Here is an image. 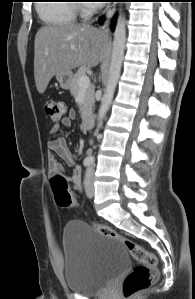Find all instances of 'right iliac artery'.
I'll return each mask as SVG.
<instances>
[{
    "label": "right iliac artery",
    "mask_w": 195,
    "mask_h": 299,
    "mask_svg": "<svg viewBox=\"0 0 195 299\" xmlns=\"http://www.w3.org/2000/svg\"><path fill=\"white\" fill-rule=\"evenodd\" d=\"M92 163V161L90 160V159H84V161H83V165L85 166V167H88L90 164Z\"/></svg>",
    "instance_id": "1"
}]
</instances>
